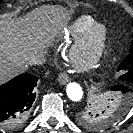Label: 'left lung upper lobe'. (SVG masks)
Returning a JSON list of instances; mask_svg holds the SVG:
<instances>
[{
    "label": "left lung upper lobe",
    "mask_w": 133,
    "mask_h": 133,
    "mask_svg": "<svg viewBox=\"0 0 133 133\" xmlns=\"http://www.w3.org/2000/svg\"><path fill=\"white\" fill-rule=\"evenodd\" d=\"M118 70H125L126 73L120 79L133 83V42L130 48V54L118 67ZM124 108L116 107L113 103H103L100 108L86 107L77 115V122L87 128H102L119 118Z\"/></svg>",
    "instance_id": "5c2ea615"
}]
</instances>
